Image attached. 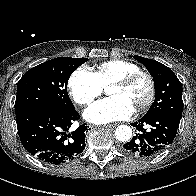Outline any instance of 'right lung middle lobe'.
Segmentation results:
<instances>
[{"instance_id":"1","label":"right lung middle lobe","mask_w":196,"mask_h":196,"mask_svg":"<svg viewBox=\"0 0 196 196\" xmlns=\"http://www.w3.org/2000/svg\"><path fill=\"white\" fill-rule=\"evenodd\" d=\"M87 60L58 57L28 70L17 85L16 116L35 106L74 110L67 93V82L73 71Z\"/></svg>"}]
</instances>
